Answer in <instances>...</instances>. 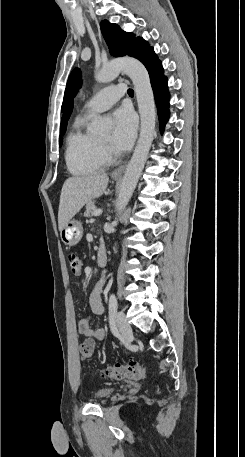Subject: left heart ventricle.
<instances>
[{
	"label": "left heart ventricle",
	"instance_id": "b2bd125f",
	"mask_svg": "<svg viewBox=\"0 0 245 457\" xmlns=\"http://www.w3.org/2000/svg\"><path fill=\"white\" fill-rule=\"evenodd\" d=\"M98 140L105 146L111 148L112 144V139H111V134L110 135H105L102 137H99Z\"/></svg>",
	"mask_w": 245,
	"mask_h": 457
}]
</instances>
